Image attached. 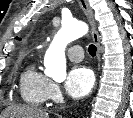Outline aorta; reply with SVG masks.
Masks as SVG:
<instances>
[{"label":"aorta","mask_w":133,"mask_h":118,"mask_svg":"<svg viewBox=\"0 0 133 118\" xmlns=\"http://www.w3.org/2000/svg\"><path fill=\"white\" fill-rule=\"evenodd\" d=\"M87 32L88 26L83 22L70 21L62 24L45 54L44 66L48 76L55 80L66 78L65 49L70 42L84 36Z\"/></svg>","instance_id":"aorta-1"}]
</instances>
